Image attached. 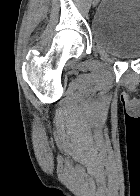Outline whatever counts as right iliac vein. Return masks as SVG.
Masks as SVG:
<instances>
[{"instance_id":"63e3f726","label":"right iliac vein","mask_w":140,"mask_h":196,"mask_svg":"<svg viewBox=\"0 0 140 196\" xmlns=\"http://www.w3.org/2000/svg\"><path fill=\"white\" fill-rule=\"evenodd\" d=\"M96 4H97V2L95 1V2H94V5L96 6Z\"/></svg>"}]
</instances>
